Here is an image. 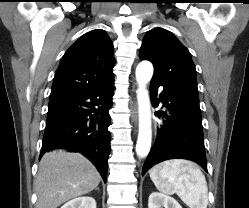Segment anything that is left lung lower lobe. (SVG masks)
I'll return each mask as SVG.
<instances>
[{"label":"left lung lower lobe","mask_w":249,"mask_h":208,"mask_svg":"<svg viewBox=\"0 0 249 208\" xmlns=\"http://www.w3.org/2000/svg\"><path fill=\"white\" fill-rule=\"evenodd\" d=\"M160 86L163 91L155 100ZM150 92L153 106L158 107L160 101L166 111L155 113L164 120L143 165L142 175L155 164L174 158L195 161L207 171L199 100L157 78H152Z\"/></svg>","instance_id":"left-lung-lower-lobe-1"}]
</instances>
